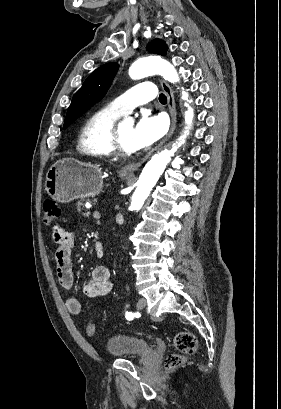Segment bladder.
<instances>
[{
	"mask_svg": "<svg viewBox=\"0 0 281 409\" xmlns=\"http://www.w3.org/2000/svg\"><path fill=\"white\" fill-rule=\"evenodd\" d=\"M104 351L108 356L120 359H133L134 355H155L149 340L124 333L109 335L104 342Z\"/></svg>",
	"mask_w": 281,
	"mask_h": 409,
	"instance_id": "obj_1",
	"label": "bladder"
}]
</instances>
